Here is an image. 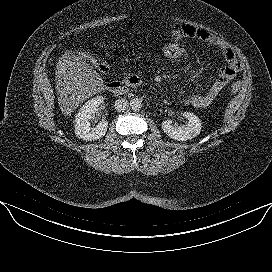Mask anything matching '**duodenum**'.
<instances>
[{
  "label": "duodenum",
  "instance_id": "1",
  "mask_svg": "<svg viewBox=\"0 0 272 272\" xmlns=\"http://www.w3.org/2000/svg\"><path fill=\"white\" fill-rule=\"evenodd\" d=\"M140 86V79L136 75H128L123 80L111 81L107 85V89L114 94H126L130 88Z\"/></svg>",
  "mask_w": 272,
  "mask_h": 272
}]
</instances>
